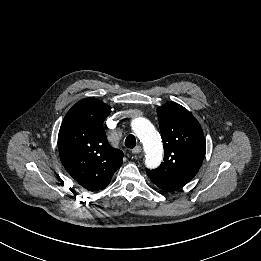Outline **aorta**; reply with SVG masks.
Here are the masks:
<instances>
[{"label": "aorta", "mask_w": 261, "mask_h": 261, "mask_svg": "<svg viewBox=\"0 0 261 261\" xmlns=\"http://www.w3.org/2000/svg\"><path fill=\"white\" fill-rule=\"evenodd\" d=\"M132 129L143 144L145 164L148 168H157L163 159V145L159 134L149 120L139 117L131 123Z\"/></svg>", "instance_id": "1"}]
</instances>
